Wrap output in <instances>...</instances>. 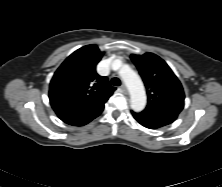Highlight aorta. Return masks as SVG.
Masks as SVG:
<instances>
[{
  "label": "aorta",
  "mask_w": 222,
  "mask_h": 187,
  "mask_svg": "<svg viewBox=\"0 0 222 187\" xmlns=\"http://www.w3.org/2000/svg\"><path fill=\"white\" fill-rule=\"evenodd\" d=\"M116 63H120V61L115 60L114 65ZM124 68H126V71H124ZM120 75L129 90L131 108L136 112L142 111L146 106V93L142 80L128 66H123Z\"/></svg>",
  "instance_id": "1"
}]
</instances>
